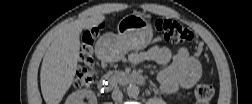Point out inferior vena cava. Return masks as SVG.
<instances>
[{"mask_svg": "<svg viewBox=\"0 0 252 104\" xmlns=\"http://www.w3.org/2000/svg\"><path fill=\"white\" fill-rule=\"evenodd\" d=\"M112 99L115 102H121L123 100V94L120 91V89L116 88V89L113 90V92H112Z\"/></svg>", "mask_w": 252, "mask_h": 104, "instance_id": "inferior-vena-cava-1", "label": "inferior vena cava"}]
</instances>
